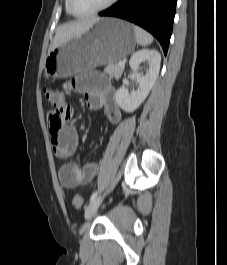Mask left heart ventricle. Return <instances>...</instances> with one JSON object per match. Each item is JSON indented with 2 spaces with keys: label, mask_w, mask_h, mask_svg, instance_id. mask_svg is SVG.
Instances as JSON below:
<instances>
[{
  "label": "left heart ventricle",
  "mask_w": 227,
  "mask_h": 265,
  "mask_svg": "<svg viewBox=\"0 0 227 265\" xmlns=\"http://www.w3.org/2000/svg\"><path fill=\"white\" fill-rule=\"evenodd\" d=\"M107 0H73V7L77 12L85 13L98 8Z\"/></svg>",
  "instance_id": "b2bd125f"
}]
</instances>
